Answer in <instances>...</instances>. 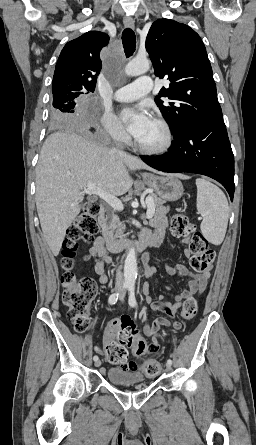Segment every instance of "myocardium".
I'll use <instances>...</instances> for the list:
<instances>
[{
  "label": "myocardium",
  "instance_id": "f54148a6",
  "mask_svg": "<svg viewBox=\"0 0 256 445\" xmlns=\"http://www.w3.org/2000/svg\"><path fill=\"white\" fill-rule=\"evenodd\" d=\"M153 121H155L163 130L164 133V141L162 144L156 147H147L140 144L136 139H134V146L141 152L149 155H159L166 153L173 144V132L169 123L163 119L162 117H154Z\"/></svg>",
  "mask_w": 256,
  "mask_h": 445
}]
</instances>
